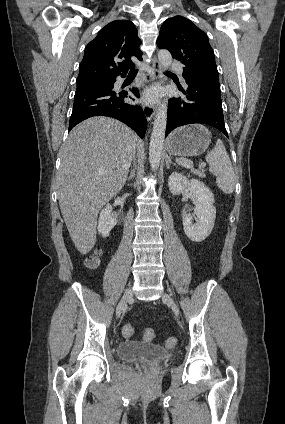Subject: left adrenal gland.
Wrapping results in <instances>:
<instances>
[{
  "label": "left adrenal gland",
  "instance_id": "obj_1",
  "mask_svg": "<svg viewBox=\"0 0 285 424\" xmlns=\"http://www.w3.org/2000/svg\"><path fill=\"white\" fill-rule=\"evenodd\" d=\"M170 164H173L172 163V161H171V158H170V156H166V167H167V169H169V167H170ZM175 165V164H174Z\"/></svg>",
  "mask_w": 285,
  "mask_h": 424
}]
</instances>
